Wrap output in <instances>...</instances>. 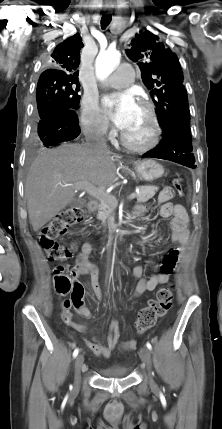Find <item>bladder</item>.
Listing matches in <instances>:
<instances>
[{"label":"bladder","mask_w":222,"mask_h":429,"mask_svg":"<svg viewBox=\"0 0 222 429\" xmlns=\"http://www.w3.org/2000/svg\"><path fill=\"white\" fill-rule=\"evenodd\" d=\"M103 375L109 376V377H124L127 375V370L123 368L107 370L103 373Z\"/></svg>","instance_id":"bladder-1"}]
</instances>
